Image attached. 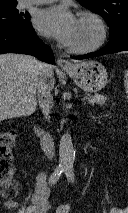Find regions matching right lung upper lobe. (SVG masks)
Returning <instances> with one entry per match:
<instances>
[{"mask_svg":"<svg viewBox=\"0 0 128 213\" xmlns=\"http://www.w3.org/2000/svg\"><path fill=\"white\" fill-rule=\"evenodd\" d=\"M17 0H0V6L16 5Z\"/></svg>","mask_w":128,"mask_h":213,"instance_id":"obj_1","label":"right lung upper lobe"}]
</instances>
